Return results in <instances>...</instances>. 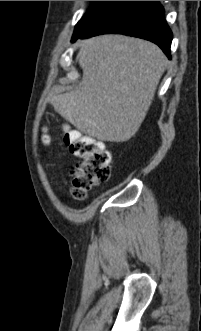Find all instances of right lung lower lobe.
I'll return each instance as SVG.
<instances>
[{
    "label": "right lung lower lobe",
    "mask_w": 201,
    "mask_h": 331,
    "mask_svg": "<svg viewBox=\"0 0 201 331\" xmlns=\"http://www.w3.org/2000/svg\"><path fill=\"white\" fill-rule=\"evenodd\" d=\"M107 33L152 41L171 58L172 32L164 18V8L158 1H115L85 31L73 37L72 42Z\"/></svg>",
    "instance_id": "98d812e1"
}]
</instances>
